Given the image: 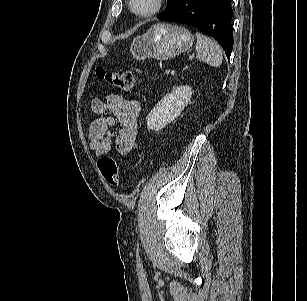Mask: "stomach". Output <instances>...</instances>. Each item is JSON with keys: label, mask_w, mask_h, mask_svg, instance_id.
Masks as SVG:
<instances>
[{"label": "stomach", "mask_w": 307, "mask_h": 301, "mask_svg": "<svg viewBox=\"0 0 307 301\" xmlns=\"http://www.w3.org/2000/svg\"><path fill=\"white\" fill-rule=\"evenodd\" d=\"M193 35L184 27L159 23L153 25L144 35L133 39L130 52L139 60L152 57L167 60L190 49Z\"/></svg>", "instance_id": "1"}]
</instances>
